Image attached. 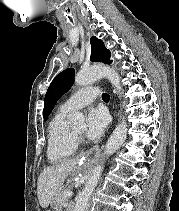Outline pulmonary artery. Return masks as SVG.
I'll use <instances>...</instances> for the list:
<instances>
[{"label": "pulmonary artery", "mask_w": 179, "mask_h": 211, "mask_svg": "<svg viewBox=\"0 0 179 211\" xmlns=\"http://www.w3.org/2000/svg\"><path fill=\"white\" fill-rule=\"evenodd\" d=\"M100 95V91L97 87L90 86L85 87L74 93L69 99H67L62 105L61 109L67 112H73L80 108L89 105Z\"/></svg>", "instance_id": "obj_1"}]
</instances>
